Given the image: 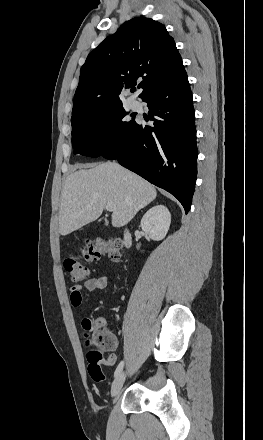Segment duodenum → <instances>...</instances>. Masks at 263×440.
I'll use <instances>...</instances> for the list:
<instances>
[{"mask_svg":"<svg viewBox=\"0 0 263 440\" xmlns=\"http://www.w3.org/2000/svg\"><path fill=\"white\" fill-rule=\"evenodd\" d=\"M123 244L126 248H129L132 244V237L129 230H125L122 238Z\"/></svg>","mask_w":263,"mask_h":440,"instance_id":"410a0bca","label":"duodenum"}]
</instances>
